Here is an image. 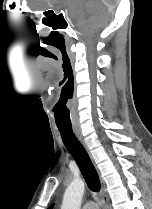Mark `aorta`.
I'll use <instances>...</instances> for the list:
<instances>
[{"label": "aorta", "instance_id": "762f6f07", "mask_svg": "<svg viewBox=\"0 0 152 209\" xmlns=\"http://www.w3.org/2000/svg\"><path fill=\"white\" fill-rule=\"evenodd\" d=\"M85 184L81 179L73 180L67 187L61 209H80Z\"/></svg>", "mask_w": 152, "mask_h": 209}]
</instances>
